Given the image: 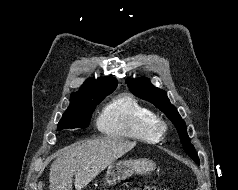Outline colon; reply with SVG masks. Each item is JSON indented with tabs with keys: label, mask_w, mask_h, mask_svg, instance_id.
<instances>
[{
	"label": "colon",
	"mask_w": 238,
	"mask_h": 190,
	"mask_svg": "<svg viewBox=\"0 0 238 190\" xmlns=\"http://www.w3.org/2000/svg\"><path fill=\"white\" fill-rule=\"evenodd\" d=\"M133 190H157V189L154 187L145 186V187L135 188Z\"/></svg>",
	"instance_id": "colon-1"
}]
</instances>
